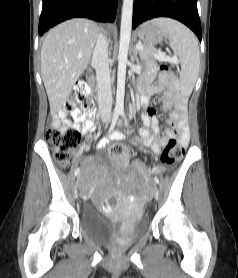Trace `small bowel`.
<instances>
[{
    "instance_id": "small-bowel-1",
    "label": "small bowel",
    "mask_w": 238,
    "mask_h": 278,
    "mask_svg": "<svg viewBox=\"0 0 238 278\" xmlns=\"http://www.w3.org/2000/svg\"><path fill=\"white\" fill-rule=\"evenodd\" d=\"M157 65L149 63L147 70L139 85V96L137 107L143 108L142 127L138 136L133 138V142L150 149L154 154H159L161 149L171 138H176L182 146H187L190 139L189 126L186 119V104L188 94L181 90L175 78L166 82L159 78L157 83L153 80L157 74ZM163 94V110L169 112L167 123L170 129L162 131L158 121L156 111L150 107L149 102L152 96ZM94 111L82 114L76 111L68 112L60 110L52 119V126L58 129L75 128L81 135L86 136L96 130L94 121ZM71 118V119H70ZM123 134L119 131L112 133L108 139H103L98 143V149H104L109 140H120ZM123 166L133 165L136 169H142L139 162H130L129 155L119 160Z\"/></svg>"
}]
</instances>
